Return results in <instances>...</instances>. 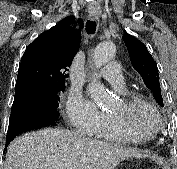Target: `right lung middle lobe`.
<instances>
[{"label": "right lung middle lobe", "mask_w": 177, "mask_h": 169, "mask_svg": "<svg viewBox=\"0 0 177 169\" xmlns=\"http://www.w3.org/2000/svg\"><path fill=\"white\" fill-rule=\"evenodd\" d=\"M64 88L65 86L50 89L27 88L15 95L11 114L43 113L58 119L59 95Z\"/></svg>", "instance_id": "right-lung-middle-lobe-1"}]
</instances>
